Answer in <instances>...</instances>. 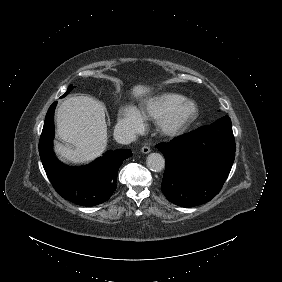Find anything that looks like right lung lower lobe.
<instances>
[{"mask_svg": "<svg viewBox=\"0 0 282 282\" xmlns=\"http://www.w3.org/2000/svg\"><path fill=\"white\" fill-rule=\"evenodd\" d=\"M56 104L54 102L46 114L39 141L40 158L48 179L54 189L68 201L87 207L101 204L116 190L118 169L132 152L129 149L108 151L103 157L83 167L62 164L52 150Z\"/></svg>", "mask_w": 282, "mask_h": 282, "instance_id": "obj_1", "label": "right lung lower lobe"}]
</instances>
